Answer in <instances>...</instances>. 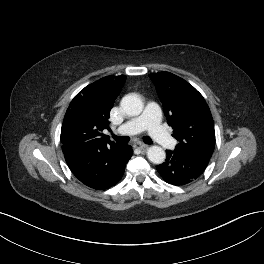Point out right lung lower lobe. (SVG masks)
Wrapping results in <instances>:
<instances>
[{
    "label": "right lung lower lobe",
    "mask_w": 264,
    "mask_h": 264,
    "mask_svg": "<svg viewBox=\"0 0 264 264\" xmlns=\"http://www.w3.org/2000/svg\"><path fill=\"white\" fill-rule=\"evenodd\" d=\"M131 156L130 146L115 145L75 151L66 154L65 160L79 181L93 189L104 190L122 178Z\"/></svg>",
    "instance_id": "obj_1"
}]
</instances>
